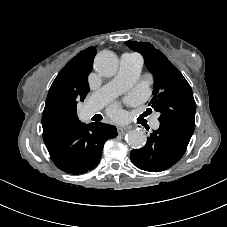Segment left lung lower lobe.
I'll return each instance as SVG.
<instances>
[{
	"label": "left lung lower lobe",
	"instance_id": "obj_1",
	"mask_svg": "<svg viewBox=\"0 0 227 227\" xmlns=\"http://www.w3.org/2000/svg\"><path fill=\"white\" fill-rule=\"evenodd\" d=\"M194 129L169 121H160V127L151 133L146 145L130 153L139 169L160 172L177 163L186 151Z\"/></svg>",
	"mask_w": 227,
	"mask_h": 227
}]
</instances>
